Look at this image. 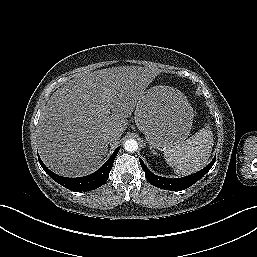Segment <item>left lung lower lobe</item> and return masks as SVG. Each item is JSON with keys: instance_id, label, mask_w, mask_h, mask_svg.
<instances>
[{"instance_id": "1", "label": "left lung lower lobe", "mask_w": 257, "mask_h": 257, "mask_svg": "<svg viewBox=\"0 0 257 257\" xmlns=\"http://www.w3.org/2000/svg\"><path fill=\"white\" fill-rule=\"evenodd\" d=\"M139 160H140L142 169L145 171V176L151 185L161 189L172 190V191H181L192 186L195 182H197L200 178H202L215 163V158H214L209 163V165H207L204 169L200 170L199 172L183 178L172 179V178L160 177L153 174L152 172H150V170H148V168L145 166L144 162L140 158Z\"/></svg>"}]
</instances>
